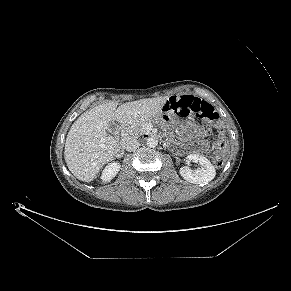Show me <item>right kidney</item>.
I'll return each mask as SVG.
<instances>
[{
  "instance_id": "obj_1",
  "label": "right kidney",
  "mask_w": 291,
  "mask_h": 291,
  "mask_svg": "<svg viewBox=\"0 0 291 291\" xmlns=\"http://www.w3.org/2000/svg\"><path fill=\"white\" fill-rule=\"evenodd\" d=\"M120 167L121 165L118 162L109 163L102 172V180L104 182L111 181L119 172Z\"/></svg>"
}]
</instances>
